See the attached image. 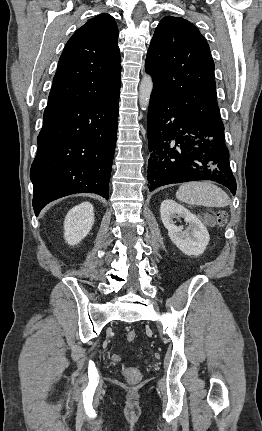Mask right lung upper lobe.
<instances>
[{"instance_id":"obj_1","label":"right lung upper lobe","mask_w":262,"mask_h":431,"mask_svg":"<svg viewBox=\"0 0 262 431\" xmlns=\"http://www.w3.org/2000/svg\"><path fill=\"white\" fill-rule=\"evenodd\" d=\"M117 41V24L109 14H100L80 27L59 59L48 103L106 101L119 93Z\"/></svg>"}]
</instances>
